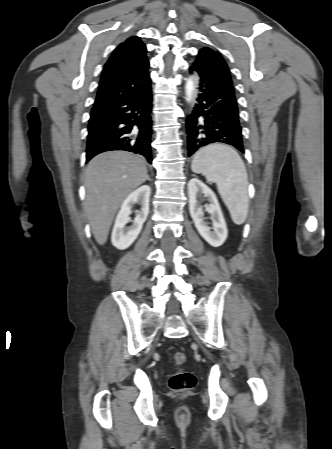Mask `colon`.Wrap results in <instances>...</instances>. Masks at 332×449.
Listing matches in <instances>:
<instances>
[{
  "label": "colon",
  "instance_id": "5ec220e1",
  "mask_svg": "<svg viewBox=\"0 0 332 449\" xmlns=\"http://www.w3.org/2000/svg\"><path fill=\"white\" fill-rule=\"evenodd\" d=\"M175 365H182L186 361V356L182 352H175L172 355ZM196 383L195 375L189 371H177L171 375L169 386L175 392H185L194 388Z\"/></svg>",
  "mask_w": 332,
  "mask_h": 449
}]
</instances>
